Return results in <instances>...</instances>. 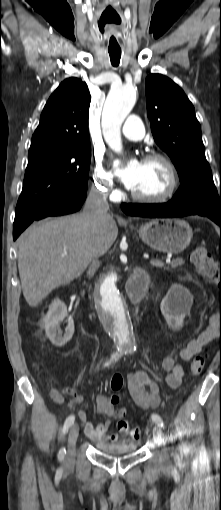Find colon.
Segmentation results:
<instances>
[{
  "label": "colon",
  "instance_id": "5ec220e1",
  "mask_svg": "<svg viewBox=\"0 0 221 510\" xmlns=\"http://www.w3.org/2000/svg\"><path fill=\"white\" fill-rule=\"evenodd\" d=\"M191 261L195 265L196 269L211 283L217 286L221 293V262L215 261L206 251V249L200 247L196 248L191 254ZM221 305V300H220ZM205 358L203 356L196 357L190 365V374L194 377L199 376L204 368ZM123 377L121 374L116 373L111 377L110 386L115 392H118L123 387ZM52 397L55 401L60 402L62 395L58 391L52 393ZM74 403L79 401L77 396L72 399ZM119 397L117 395L112 397V402L117 403ZM126 416V410L121 408L116 412V418L119 420L120 428L128 430L132 437L139 438L141 436V429L136 427L129 429L128 423L124 420ZM118 427V425H117Z\"/></svg>",
  "mask_w": 221,
  "mask_h": 510
}]
</instances>
